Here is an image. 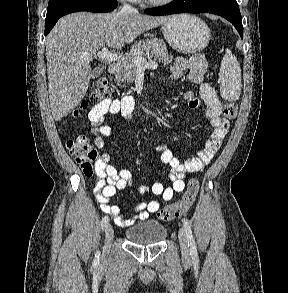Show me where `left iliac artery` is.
I'll list each match as a JSON object with an SVG mask.
<instances>
[{
  "label": "left iliac artery",
  "mask_w": 288,
  "mask_h": 293,
  "mask_svg": "<svg viewBox=\"0 0 288 293\" xmlns=\"http://www.w3.org/2000/svg\"><path fill=\"white\" fill-rule=\"evenodd\" d=\"M183 225H184V230L188 240V246L190 248V255L192 256V259L194 261H198L197 248H196V243L192 234L191 226L189 221L185 218L183 219Z\"/></svg>",
  "instance_id": "1"
}]
</instances>
